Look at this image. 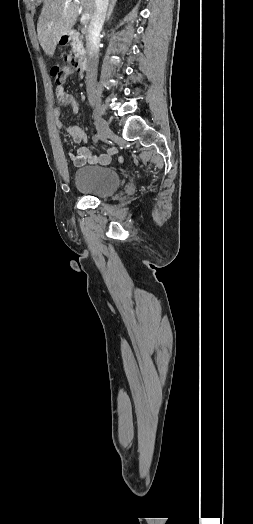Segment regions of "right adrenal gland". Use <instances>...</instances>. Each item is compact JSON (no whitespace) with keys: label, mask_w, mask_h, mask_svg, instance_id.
Here are the masks:
<instances>
[{"label":"right adrenal gland","mask_w":253,"mask_h":524,"mask_svg":"<svg viewBox=\"0 0 253 524\" xmlns=\"http://www.w3.org/2000/svg\"><path fill=\"white\" fill-rule=\"evenodd\" d=\"M116 1L117 0H110L108 11H107V16H106V21L110 19L111 14L113 13L114 7L116 5Z\"/></svg>","instance_id":"obj_1"}]
</instances>
